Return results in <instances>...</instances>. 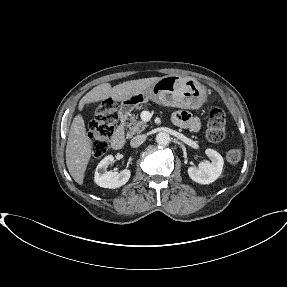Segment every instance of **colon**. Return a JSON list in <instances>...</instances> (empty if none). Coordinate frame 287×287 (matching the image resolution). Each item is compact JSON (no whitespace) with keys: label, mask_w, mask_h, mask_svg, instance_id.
Here are the masks:
<instances>
[{"label":"colon","mask_w":287,"mask_h":287,"mask_svg":"<svg viewBox=\"0 0 287 287\" xmlns=\"http://www.w3.org/2000/svg\"><path fill=\"white\" fill-rule=\"evenodd\" d=\"M117 121V103L113 99H106L96 107L95 119L91 123L89 132L93 160L103 157L107 152ZM206 135L211 142H220L224 139L225 116L221 109L214 108L211 111ZM241 158L242 152L238 148H232L226 153V159L231 165L238 164Z\"/></svg>","instance_id":"5ec220e1"}]
</instances>
